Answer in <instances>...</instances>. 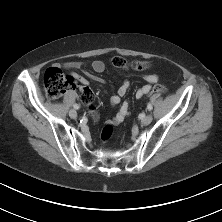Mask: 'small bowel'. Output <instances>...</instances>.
I'll return each instance as SVG.
<instances>
[{
    "mask_svg": "<svg viewBox=\"0 0 222 222\" xmlns=\"http://www.w3.org/2000/svg\"><path fill=\"white\" fill-rule=\"evenodd\" d=\"M83 65L84 63L80 61H69L63 63V67L66 70L70 71L79 70L83 67ZM91 69L94 73H102L105 70V64L101 60H95L91 63ZM74 76L82 85L84 86L88 85L89 81L87 78L77 75L76 73H74ZM87 77L97 82L101 83L104 82L103 79L93 74H87ZM143 79L146 81V84L136 90L135 97L137 99H141L149 92H151L152 86L158 82V76L156 74H146L143 76ZM129 88H130V82L128 80H124L122 84L119 86L117 93L110 98V104L112 106L119 105L122 101V98L127 94ZM128 116H129V103L125 101L121 104L117 113L112 118L107 120V123L110 125H118L122 123Z\"/></svg>",
    "mask_w": 222,
    "mask_h": 222,
    "instance_id": "small-bowel-1",
    "label": "small bowel"
}]
</instances>
